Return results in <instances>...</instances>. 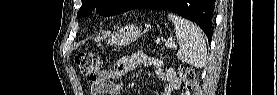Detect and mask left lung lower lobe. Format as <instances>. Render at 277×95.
Listing matches in <instances>:
<instances>
[{
    "label": "left lung lower lobe",
    "instance_id": "obj_1",
    "mask_svg": "<svg viewBox=\"0 0 277 95\" xmlns=\"http://www.w3.org/2000/svg\"><path fill=\"white\" fill-rule=\"evenodd\" d=\"M215 0H173L170 6L162 7L160 0H143L135 9L169 10L195 22L212 39Z\"/></svg>",
    "mask_w": 277,
    "mask_h": 95
}]
</instances>
